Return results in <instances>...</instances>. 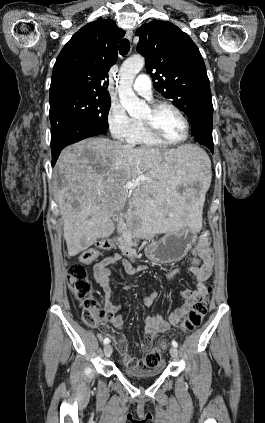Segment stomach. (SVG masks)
Returning <instances> with one entry per match:
<instances>
[{"label": "stomach", "instance_id": "obj_1", "mask_svg": "<svg viewBox=\"0 0 265 423\" xmlns=\"http://www.w3.org/2000/svg\"><path fill=\"white\" fill-rule=\"evenodd\" d=\"M196 238V231L191 226L176 232H166L159 241L148 244L146 256L149 260L162 264L178 261L187 254Z\"/></svg>", "mask_w": 265, "mask_h": 423}]
</instances>
